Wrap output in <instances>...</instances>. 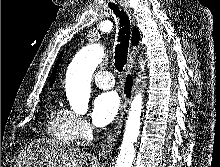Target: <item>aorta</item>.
Here are the masks:
<instances>
[{"instance_id": "aorta-1", "label": "aorta", "mask_w": 220, "mask_h": 167, "mask_svg": "<svg viewBox=\"0 0 220 167\" xmlns=\"http://www.w3.org/2000/svg\"><path fill=\"white\" fill-rule=\"evenodd\" d=\"M104 55L102 47L91 44L81 49L68 67L66 75V95L71 108L77 114H85L90 98V83L96 67ZM142 95L131 102L125 132L115 167H132L135 157V143L140 131Z\"/></svg>"}]
</instances>
